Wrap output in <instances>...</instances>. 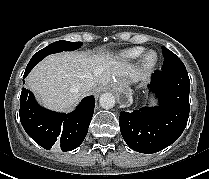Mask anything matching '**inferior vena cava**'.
<instances>
[{"mask_svg": "<svg viewBox=\"0 0 209 179\" xmlns=\"http://www.w3.org/2000/svg\"><path fill=\"white\" fill-rule=\"evenodd\" d=\"M95 86V82L92 79H85L79 84V88L83 92L90 91Z\"/></svg>", "mask_w": 209, "mask_h": 179, "instance_id": "obj_1", "label": "inferior vena cava"}]
</instances>
